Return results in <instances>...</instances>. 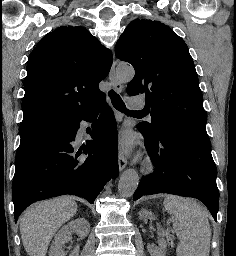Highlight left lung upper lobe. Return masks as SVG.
<instances>
[{"instance_id": "5c2ea615", "label": "left lung upper lobe", "mask_w": 236, "mask_h": 256, "mask_svg": "<svg viewBox=\"0 0 236 256\" xmlns=\"http://www.w3.org/2000/svg\"><path fill=\"white\" fill-rule=\"evenodd\" d=\"M115 53L135 69L127 93L146 94L151 123L141 122L138 129L156 136L166 124L208 138L198 76L182 38L159 21L136 19L120 36Z\"/></svg>"}]
</instances>
